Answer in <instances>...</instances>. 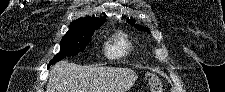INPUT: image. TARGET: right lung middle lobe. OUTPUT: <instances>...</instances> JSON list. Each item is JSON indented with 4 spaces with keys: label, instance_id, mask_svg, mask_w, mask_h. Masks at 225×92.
Wrapping results in <instances>:
<instances>
[{
    "label": "right lung middle lobe",
    "instance_id": "right-lung-middle-lobe-1",
    "mask_svg": "<svg viewBox=\"0 0 225 92\" xmlns=\"http://www.w3.org/2000/svg\"><path fill=\"white\" fill-rule=\"evenodd\" d=\"M105 21L106 19L75 30H69L62 37L60 52L49 62L48 67L63 59L64 56H74L77 55L78 52L84 51L86 45L91 40L94 31L103 25Z\"/></svg>",
    "mask_w": 225,
    "mask_h": 92
}]
</instances>
